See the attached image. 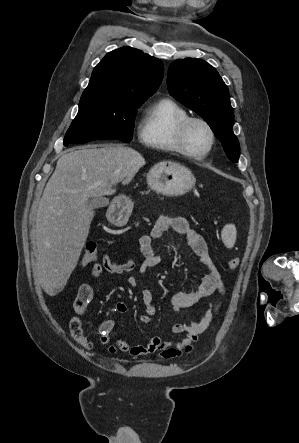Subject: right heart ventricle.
<instances>
[{"instance_id": "obj_1", "label": "right heart ventricle", "mask_w": 299, "mask_h": 443, "mask_svg": "<svg viewBox=\"0 0 299 443\" xmlns=\"http://www.w3.org/2000/svg\"><path fill=\"white\" fill-rule=\"evenodd\" d=\"M189 113L176 101L162 98L146 110L140 130L141 143L153 150L180 153L176 143L179 124Z\"/></svg>"}]
</instances>
